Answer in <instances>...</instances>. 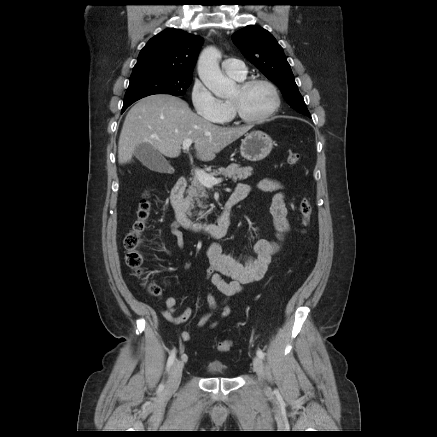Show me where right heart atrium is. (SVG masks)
<instances>
[{
	"instance_id": "obj_1",
	"label": "right heart atrium",
	"mask_w": 437,
	"mask_h": 437,
	"mask_svg": "<svg viewBox=\"0 0 437 437\" xmlns=\"http://www.w3.org/2000/svg\"><path fill=\"white\" fill-rule=\"evenodd\" d=\"M191 102L196 114L205 120L222 122L228 116L227 103L217 98L200 80L194 81Z\"/></svg>"
}]
</instances>
